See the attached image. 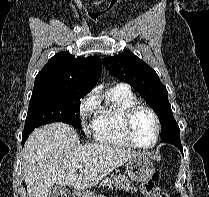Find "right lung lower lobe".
Returning a JSON list of instances; mask_svg holds the SVG:
<instances>
[{
  "label": "right lung lower lobe",
  "mask_w": 209,
  "mask_h": 197,
  "mask_svg": "<svg viewBox=\"0 0 209 197\" xmlns=\"http://www.w3.org/2000/svg\"><path fill=\"white\" fill-rule=\"evenodd\" d=\"M33 130H34V129L24 131L23 137H22V147H23L25 141L27 140L28 136L30 135V133H31Z\"/></svg>",
  "instance_id": "right-lung-lower-lobe-1"
}]
</instances>
